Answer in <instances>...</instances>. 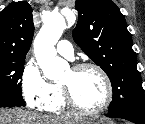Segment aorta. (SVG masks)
I'll list each match as a JSON object with an SVG mask.
<instances>
[{
  "label": "aorta",
  "instance_id": "obj_1",
  "mask_svg": "<svg viewBox=\"0 0 145 124\" xmlns=\"http://www.w3.org/2000/svg\"><path fill=\"white\" fill-rule=\"evenodd\" d=\"M34 40V53L45 78L51 81L60 79L68 63L57 56L55 44L66 26L65 19L58 13H50Z\"/></svg>",
  "mask_w": 145,
  "mask_h": 124
}]
</instances>
